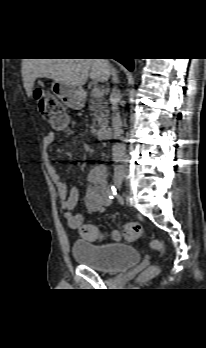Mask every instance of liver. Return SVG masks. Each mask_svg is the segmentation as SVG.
Segmentation results:
<instances>
[{
    "label": "liver",
    "instance_id": "liver-1",
    "mask_svg": "<svg viewBox=\"0 0 206 348\" xmlns=\"http://www.w3.org/2000/svg\"><path fill=\"white\" fill-rule=\"evenodd\" d=\"M112 66L106 59H23L22 77L27 96L33 93L37 78H49L84 85L90 77L95 82H106L111 75Z\"/></svg>",
    "mask_w": 206,
    "mask_h": 348
}]
</instances>
